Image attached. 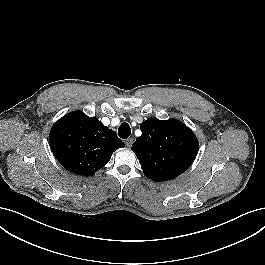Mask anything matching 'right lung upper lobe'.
Returning <instances> with one entry per match:
<instances>
[{
  "label": "right lung upper lobe",
  "mask_w": 265,
  "mask_h": 265,
  "mask_svg": "<svg viewBox=\"0 0 265 265\" xmlns=\"http://www.w3.org/2000/svg\"><path fill=\"white\" fill-rule=\"evenodd\" d=\"M52 152L67 170L92 176L125 144L95 117L81 111L60 118L49 134Z\"/></svg>",
  "instance_id": "1"
}]
</instances>
